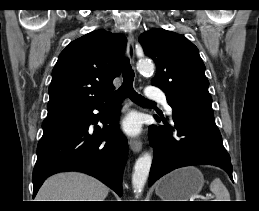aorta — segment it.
Listing matches in <instances>:
<instances>
[{"label": "aorta", "instance_id": "1", "mask_svg": "<svg viewBox=\"0 0 259 211\" xmlns=\"http://www.w3.org/2000/svg\"><path fill=\"white\" fill-rule=\"evenodd\" d=\"M137 69L140 72L150 73L154 70V65L149 61L140 60L137 63ZM151 164L152 156L150 153H144L136 160L134 172L132 175V185L137 196L142 192L145 186L150 172Z\"/></svg>", "mask_w": 259, "mask_h": 211}]
</instances>
